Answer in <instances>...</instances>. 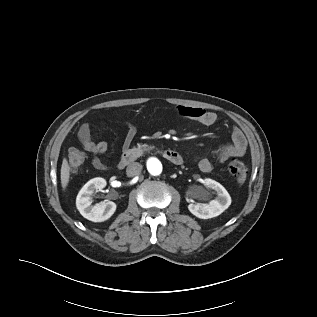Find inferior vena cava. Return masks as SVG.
<instances>
[{"label":"inferior vena cava","mask_w":317,"mask_h":317,"mask_svg":"<svg viewBox=\"0 0 317 317\" xmlns=\"http://www.w3.org/2000/svg\"><path fill=\"white\" fill-rule=\"evenodd\" d=\"M141 170H142V165L138 162H134L127 166L126 174L129 177H133L137 174H140Z\"/></svg>","instance_id":"inferior-vena-cava-1"}]
</instances>
